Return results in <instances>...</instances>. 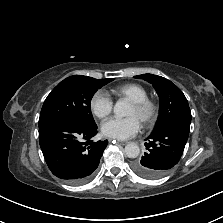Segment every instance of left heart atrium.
I'll list each match as a JSON object with an SVG mask.
<instances>
[{
    "mask_svg": "<svg viewBox=\"0 0 223 223\" xmlns=\"http://www.w3.org/2000/svg\"><path fill=\"white\" fill-rule=\"evenodd\" d=\"M139 129L140 122L135 116L111 118L102 125V133L105 136L118 140H125L132 137Z\"/></svg>",
    "mask_w": 223,
    "mask_h": 223,
    "instance_id": "1",
    "label": "left heart atrium"
}]
</instances>
